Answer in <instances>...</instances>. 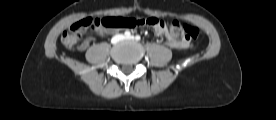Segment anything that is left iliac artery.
I'll list each match as a JSON object with an SVG mask.
<instances>
[{
  "instance_id": "44dca946",
  "label": "left iliac artery",
  "mask_w": 276,
  "mask_h": 120,
  "mask_svg": "<svg viewBox=\"0 0 276 120\" xmlns=\"http://www.w3.org/2000/svg\"><path fill=\"white\" fill-rule=\"evenodd\" d=\"M135 39H136L137 41H139V40L141 39V37H140L139 35H136Z\"/></svg>"
}]
</instances>
